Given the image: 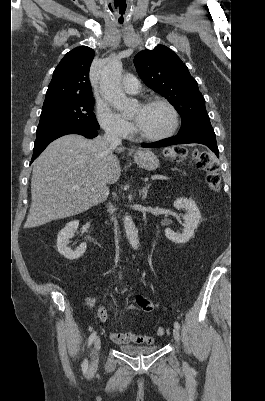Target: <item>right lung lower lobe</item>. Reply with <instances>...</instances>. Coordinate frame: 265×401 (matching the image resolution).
Masks as SVG:
<instances>
[{
	"mask_svg": "<svg viewBox=\"0 0 265 401\" xmlns=\"http://www.w3.org/2000/svg\"><path fill=\"white\" fill-rule=\"evenodd\" d=\"M67 134H80L91 139L96 137L98 132L94 129L80 127H54L40 132L37 134L35 140L32 161L30 164L41 154V152L49 145V143Z\"/></svg>",
	"mask_w": 265,
	"mask_h": 401,
	"instance_id": "right-lung-lower-lobe-1",
	"label": "right lung lower lobe"
}]
</instances>
